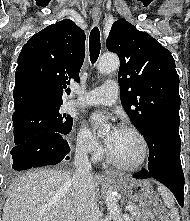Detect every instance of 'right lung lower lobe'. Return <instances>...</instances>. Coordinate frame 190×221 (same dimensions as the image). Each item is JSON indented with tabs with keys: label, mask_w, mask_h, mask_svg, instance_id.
<instances>
[{
	"label": "right lung lower lobe",
	"mask_w": 190,
	"mask_h": 221,
	"mask_svg": "<svg viewBox=\"0 0 190 221\" xmlns=\"http://www.w3.org/2000/svg\"><path fill=\"white\" fill-rule=\"evenodd\" d=\"M69 133V132H67ZM67 133L43 132L26 142L16 145L12 150L14 170H26L45 165H55L68 160L70 148L63 135Z\"/></svg>",
	"instance_id": "right-lung-lower-lobe-1"
}]
</instances>
